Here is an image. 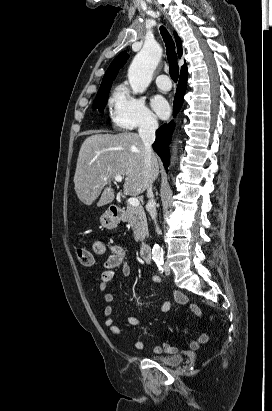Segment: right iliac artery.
I'll use <instances>...</instances> for the list:
<instances>
[{
  "mask_svg": "<svg viewBox=\"0 0 272 411\" xmlns=\"http://www.w3.org/2000/svg\"><path fill=\"white\" fill-rule=\"evenodd\" d=\"M160 259H162V257H157V258L155 259V261L160 260Z\"/></svg>",
  "mask_w": 272,
  "mask_h": 411,
  "instance_id": "82829eb1",
  "label": "right iliac artery"
}]
</instances>
